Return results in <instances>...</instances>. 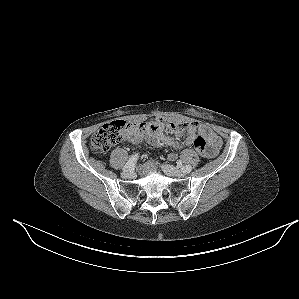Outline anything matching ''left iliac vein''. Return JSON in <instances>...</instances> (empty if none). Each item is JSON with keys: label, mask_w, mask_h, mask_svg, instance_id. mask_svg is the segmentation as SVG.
<instances>
[{"label": "left iliac vein", "mask_w": 299, "mask_h": 299, "mask_svg": "<svg viewBox=\"0 0 299 299\" xmlns=\"http://www.w3.org/2000/svg\"><path fill=\"white\" fill-rule=\"evenodd\" d=\"M162 170L166 175L171 177H184L186 175L184 171L179 170L174 166L168 164L162 165Z\"/></svg>", "instance_id": "1"}]
</instances>
